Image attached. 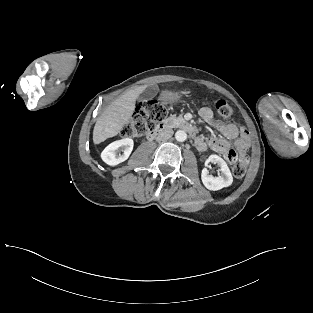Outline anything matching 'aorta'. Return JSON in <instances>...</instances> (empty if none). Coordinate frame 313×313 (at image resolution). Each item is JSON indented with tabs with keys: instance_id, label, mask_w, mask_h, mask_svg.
<instances>
[{
	"instance_id": "aorta-1",
	"label": "aorta",
	"mask_w": 313,
	"mask_h": 313,
	"mask_svg": "<svg viewBox=\"0 0 313 313\" xmlns=\"http://www.w3.org/2000/svg\"><path fill=\"white\" fill-rule=\"evenodd\" d=\"M175 139L178 141V142H184L186 139H187V134L185 131L183 130H178L176 133H175Z\"/></svg>"
}]
</instances>
